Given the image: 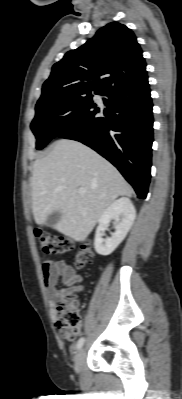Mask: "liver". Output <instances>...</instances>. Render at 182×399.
Listing matches in <instances>:
<instances>
[{"label":"liver","mask_w":182,"mask_h":399,"mask_svg":"<svg viewBox=\"0 0 182 399\" xmlns=\"http://www.w3.org/2000/svg\"><path fill=\"white\" fill-rule=\"evenodd\" d=\"M31 187L36 224L47 225V217L59 211L61 217L52 227L75 241L87 238L117 197L133 193L111 163L82 143L68 139L56 141L47 156L34 162ZM79 188L85 193L80 194Z\"/></svg>","instance_id":"1"}]
</instances>
